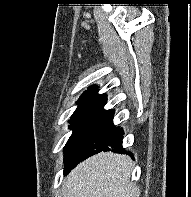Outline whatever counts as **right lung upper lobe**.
<instances>
[{
  "label": "right lung upper lobe",
  "instance_id": "cb5924a9",
  "mask_svg": "<svg viewBox=\"0 0 191 197\" xmlns=\"http://www.w3.org/2000/svg\"><path fill=\"white\" fill-rule=\"evenodd\" d=\"M107 98L106 94H98V86H91L78 99L79 103L76 111L92 110L98 104L102 103Z\"/></svg>",
  "mask_w": 191,
  "mask_h": 197
}]
</instances>
